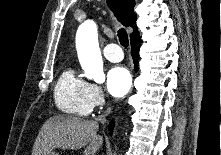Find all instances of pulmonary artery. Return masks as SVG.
Segmentation results:
<instances>
[{
	"instance_id": "pulmonary-artery-1",
	"label": "pulmonary artery",
	"mask_w": 221,
	"mask_h": 155,
	"mask_svg": "<svg viewBox=\"0 0 221 155\" xmlns=\"http://www.w3.org/2000/svg\"><path fill=\"white\" fill-rule=\"evenodd\" d=\"M104 56L112 62H119L123 59V52L116 43L108 44L103 49Z\"/></svg>"
}]
</instances>
